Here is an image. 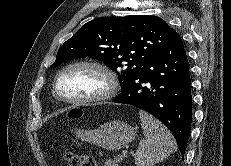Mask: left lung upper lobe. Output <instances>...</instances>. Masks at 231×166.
Returning <instances> with one entry per match:
<instances>
[{"label": "left lung upper lobe", "mask_w": 231, "mask_h": 166, "mask_svg": "<svg viewBox=\"0 0 231 166\" xmlns=\"http://www.w3.org/2000/svg\"><path fill=\"white\" fill-rule=\"evenodd\" d=\"M176 31L156 16L101 17L84 24L58 50L57 67L86 56L103 61L116 71L122 90L134 74L153 58Z\"/></svg>", "instance_id": "obj_1"}]
</instances>
